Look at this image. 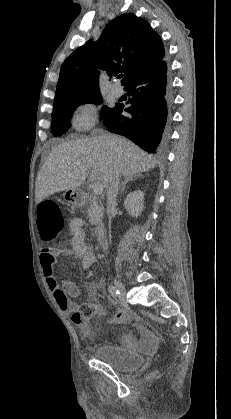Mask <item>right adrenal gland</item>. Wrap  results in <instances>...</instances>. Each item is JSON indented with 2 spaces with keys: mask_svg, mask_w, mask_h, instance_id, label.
<instances>
[{
  "mask_svg": "<svg viewBox=\"0 0 231 419\" xmlns=\"http://www.w3.org/2000/svg\"><path fill=\"white\" fill-rule=\"evenodd\" d=\"M141 176H142V175L139 173V174H135V175H133V176L126 177V178H125V180L121 183V188H120L119 194H122V192H123V191H124V189H125L126 184H127L129 181H133V180H135V179H137V178H140Z\"/></svg>",
  "mask_w": 231,
  "mask_h": 419,
  "instance_id": "right-adrenal-gland-1",
  "label": "right adrenal gland"
}]
</instances>
